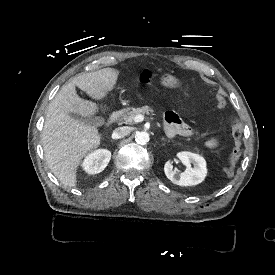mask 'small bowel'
<instances>
[{"mask_svg":"<svg viewBox=\"0 0 275 275\" xmlns=\"http://www.w3.org/2000/svg\"><path fill=\"white\" fill-rule=\"evenodd\" d=\"M140 73L143 77H145V87H148V77L160 73V70L156 71L154 68L144 66L141 68ZM141 84H144V78H141ZM165 131L167 135L170 137L175 135L190 136L193 133L191 127L188 124H186L182 120V118L175 112L167 113ZM217 144L218 141L215 138L209 139L206 142V146L208 148H214L217 146Z\"/></svg>","mask_w":275,"mask_h":275,"instance_id":"small-bowel-1","label":"small bowel"}]
</instances>
